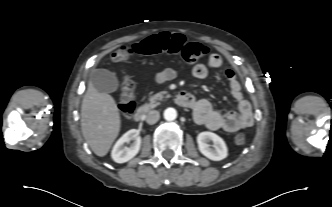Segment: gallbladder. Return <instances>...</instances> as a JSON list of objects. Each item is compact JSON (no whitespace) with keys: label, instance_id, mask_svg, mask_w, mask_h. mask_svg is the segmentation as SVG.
<instances>
[{"label":"gallbladder","instance_id":"1","mask_svg":"<svg viewBox=\"0 0 332 207\" xmlns=\"http://www.w3.org/2000/svg\"><path fill=\"white\" fill-rule=\"evenodd\" d=\"M90 81L100 92L112 93L118 89V80L115 74L106 69H96L91 74Z\"/></svg>","mask_w":332,"mask_h":207}]
</instances>
